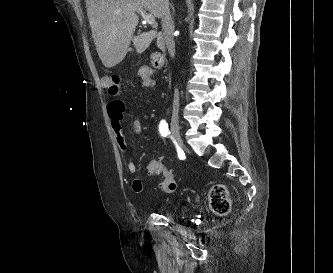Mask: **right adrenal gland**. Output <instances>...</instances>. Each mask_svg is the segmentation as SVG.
Here are the masks:
<instances>
[{
    "mask_svg": "<svg viewBox=\"0 0 333 273\" xmlns=\"http://www.w3.org/2000/svg\"><path fill=\"white\" fill-rule=\"evenodd\" d=\"M171 7H172L173 11H175V9H174V7L172 5H171Z\"/></svg>",
    "mask_w": 333,
    "mask_h": 273,
    "instance_id": "2a0ac1e0",
    "label": "right adrenal gland"
}]
</instances>
